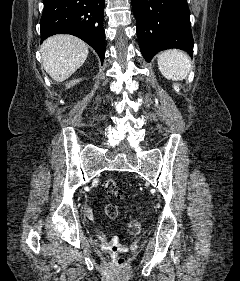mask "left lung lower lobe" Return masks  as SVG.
<instances>
[{
  "instance_id": "1",
  "label": "left lung lower lobe",
  "mask_w": 240,
  "mask_h": 281,
  "mask_svg": "<svg viewBox=\"0 0 240 281\" xmlns=\"http://www.w3.org/2000/svg\"><path fill=\"white\" fill-rule=\"evenodd\" d=\"M140 51L147 62L161 50L178 48L193 54L187 0H131Z\"/></svg>"
}]
</instances>
